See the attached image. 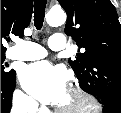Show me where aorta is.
Listing matches in <instances>:
<instances>
[{
    "label": "aorta",
    "instance_id": "aorta-1",
    "mask_svg": "<svg viewBox=\"0 0 121 113\" xmlns=\"http://www.w3.org/2000/svg\"><path fill=\"white\" fill-rule=\"evenodd\" d=\"M66 20V14L62 9H51L46 15V21L50 26L62 25Z\"/></svg>",
    "mask_w": 121,
    "mask_h": 113
}]
</instances>
